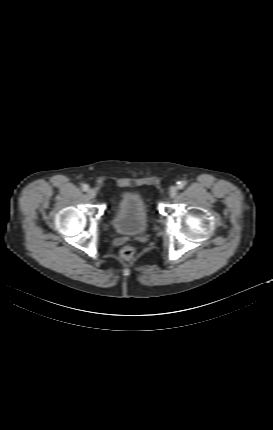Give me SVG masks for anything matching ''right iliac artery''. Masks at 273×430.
I'll list each match as a JSON object with an SVG mask.
<instances>
[{"instance_id": "82829eb1", "label": "right iliac artery", "mask_w": 273, "mask_h": 430, "mask_svg": "<svg viewBox=\"0 0 273 430\" xmlns=\"http://www.w3.org/2000/svg\"><path fill=\"white\" fill-rule=\"evenodd\" d=\"M89 189V186L87 184H83L82 190L87 191Z\"/></svg>"}]
</instances>
